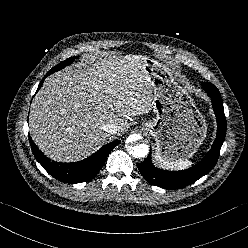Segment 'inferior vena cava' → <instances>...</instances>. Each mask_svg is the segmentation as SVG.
I'll list each match as a JSON object with an SVG mask.
<instances>
[{"mask_svg":"<svg viewBox=\"0 0 248 248\" xmlns=\"http://www.w3.org/2000/svg\"><path fill=\"white\" fill-rule=\"evenodd\" d=\"M102 129L107 132L108 134H116L118 131V127L115 124L107 123L105 124Z\"/></svg>","mask_w":248,"mask_h":248,"instance_id":"inferior-vena-cava-1","label":"inferior vena cava"}]
</instances>
